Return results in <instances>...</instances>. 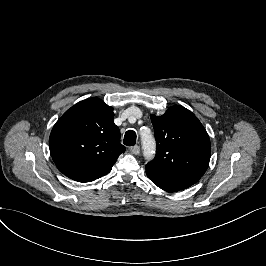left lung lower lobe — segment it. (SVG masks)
<instances>
[{
	"label": "left lung lower lobe",
	"instance_id": "0a47b994",
	"mask_svg": "<svg viewBox=\"0 0 266 266\" xmlns=\"http://www.w3.org/2000/svg\"><path fill=\"white\" fill-rule=\"evenodd\" d=\"M148 177L150 178V180L155 183L159 188L167 191V192H176L179 190H184L186 189L185 187L176 185V184H172L170 182H167L165 180H162L156 176H152V175H148Z\"/></svg>",
	"mask_w": 266,
	"mask_h": 266
}]
</instances>
